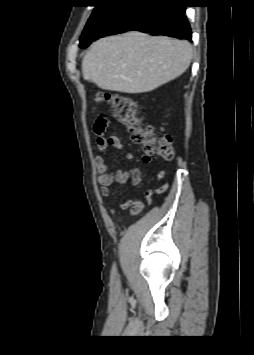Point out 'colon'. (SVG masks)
Masks as SVG:
<instances>
[{
	"label": "colon",
	"mask_w": 254,
	"mask_h": 355,
	"mask_svg": "<svg viewBox=\"0 0 254 355\" xmlns=\"http://www.w3.org/2000/svg\"><path fill=\"white\" fill-rule=\"evenodd\" d=\"M97 101H106L114 109L116 119L124 124L131 133V139L135 144L142 145L148 156H154L169 161L173 158L172 140L169 135L157 136L150 127H143L136 116V104L127 95L122 93H111L107 91L98 92ZM108 124V119L100 118L96 123V130L103 131ZM168 188L163 185L162 191Z\"/></svg>",
	"instance_id": "1"
}]
</instances>
